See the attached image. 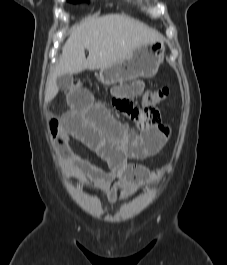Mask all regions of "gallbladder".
I'll return each mask as SVG.
<instances>
[{
	"label": "gallbladder",
	"instance_id": "obj_1",
	"mask_svg": "<svg viewBox=\"0 0 227 265\" xmlns=\"http://www.w3.org/2000/svg\"><path fill=\"white\" fill-rule=\"evenodd\" d=\"M73 82V76L71 74H65L57 77L56 84L58 89L66 90Z\"/></svg>",
	"mask_w": 227,
	"mask_h": 265
}]
</instances>
